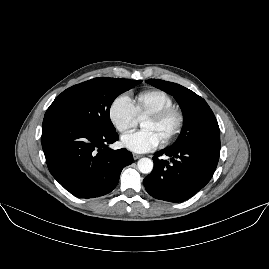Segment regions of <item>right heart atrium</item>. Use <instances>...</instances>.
I'll return each instance as SVG.
<instances>
[{
	"instance_id": "d8ad5b80",
	"label": "right heart atrium",
	"mask_w": 269,
	"mask_h": 269,
	"mask_svg": "<svg viewBox=\"0 0 269 269\" xmlns=\"http://www.w3.org/2000/svg\"><path fill=\"white\" fill-rule=\"evenodd\" d=\"M108 118L115 129L122 134L134 130L139 122L133 102L125 93L117 95L111 101Z\"/></svg>"
}]
</instances>
